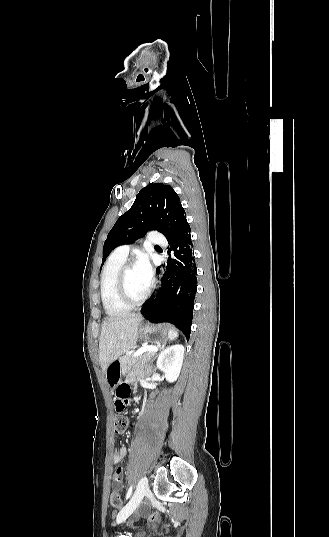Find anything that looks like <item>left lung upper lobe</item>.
I'll use <instances>...</instances> for the list:
<instances>
[{"instance_id":"left-lung-upper-lobe-1","label":"left lung upper lobe","mask_w":329,"mask_h":537,"mask_svg":"<svg viewBox=\"0 0 329 537\" xmlns=\"http://www.w3.org/2000/svg\"><path fill=\"white\" fill-rule=\"evenodd\" d=\"M186 221L185 210L173 188L163 183L149 184L110 230L104 242L102 264L113 249L133 243L148 231L157 230L170 240Z\"/></svg>"}]
</instances>
